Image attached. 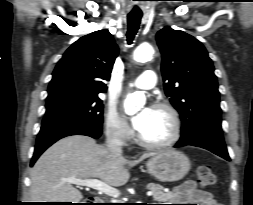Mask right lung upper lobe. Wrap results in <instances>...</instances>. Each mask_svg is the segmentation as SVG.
Wrapping results in <instances>:
<instances>
[{"label":"right lung upper lobe","mask_w":253,"mask_h":205,"mask_svg":"<svg viewBox=\"0 0 253 205\" xmlns=\"http://www.w3.org/2000/svg\"><path fill=\"white\" fill-rule=\"evenodd\" d=\"M108 30H99L74 42L57 63L48 87L47 101L72 95H99L118 55Z\"/></svg>","instance_id":"right-lung-upper-lobe-1"}]
</instances>
